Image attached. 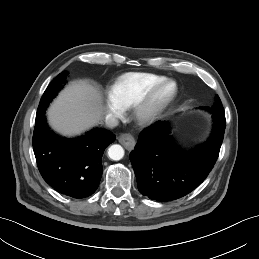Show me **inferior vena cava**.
I'll use <instances>...</instances> for the list:
<instances>
[{
	"instance_id": "1",
	"label": "inferior vena cava",
	"mask_w": 259,
	"mask_h": 259,
	"mask_svg": "<svg viewBox=\"0 0 259 259\" xmlns=\"http://www.w3.org/2000/svg\"><path fill=\"white\" fill-rule=\"evenodd\" d=\"M105 123L108 127L113 128L118 126L119 121L113 115H107L105 118Z\"/></svg>"
}]
</instances>
